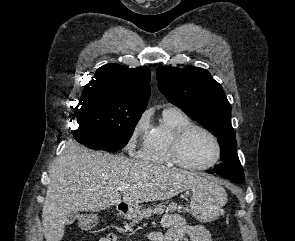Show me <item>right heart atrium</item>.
Wrapping results in <instances>:
<instances>
[{
    "label": "right heart atrium",
    "instance_id": "right-heart-atrium-1",
    "mask_svg": "<svg viewBox=\"0 0 295 241\" xmlns=\"http://www.w3.org/2000/svg\"><path fill=\"white\" fill-rule=\"evenodd\" d=\"M151 111H143L133 122L131 131L126 144V149L129 153L143 147L151 130Z\"/></svg>",
    "mask_w": 295,
    "mask_h": 241
}]
</instances>
